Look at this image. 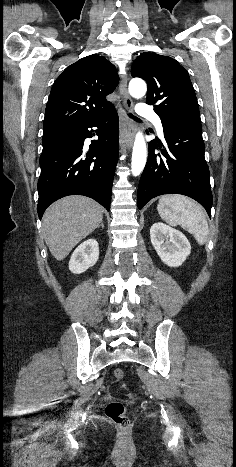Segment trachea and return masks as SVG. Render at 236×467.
<instances>
[{
    "label": "trachea",
    "instance_id": "3493384b",
    "mask_svg": "<svg viewBox=\"0 0 236 467\" xmlns=\"http://www.w3.org/2000/svg\"><path fill=\"white\" fill-rule=\"evenodd\" d=\"M129 117L133 118L134 120L140 121L139 118H137L136 116H134V115H132V114H129Z\"/></svg>",
    "mask_w": 236,
    "mask_h": 467
}]
</instances>
